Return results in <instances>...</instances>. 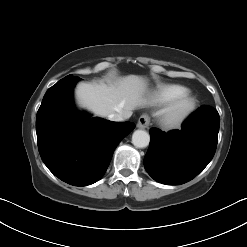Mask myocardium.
Returning <instances> with one entry per match:
<instances>
[{"instance_id": "obj_1", "label": "myocardium", "mask_w": 247, "mask_h": 247, "mask_svg": "<svg viewBox=\"0 0 247 247\" xmlns=\"http://www.w3.org/2000/svg\"><path fill=\"white\" fill-rule=\"evenodd\" d=\"M198 105L195 95L184 92L169 102L160 113V122L164 128L180 127L194 113Z\"/></svg>"}]
</instances>
